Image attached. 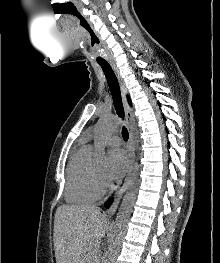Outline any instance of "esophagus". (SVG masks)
Wrapping results in <instances>:
<instances>
[{"label":"esophagus","mask_w":220,"mask_h":263,"mask_svg":"<svg viewBox=\"0 0 220 263\" xmlns=\"http://www.w3.org/2000/svg\"><path fill=\"white\" fill-rule=\"evenodd\" d=\"M114 70H115V73H116V76H117V79H118V82L121 88L125 117L127 120V126H128V132H129V140H128L127 147H128V153H129L130 160H129V167L127 170V174H126L124 183L120 187V189L116 192L112 206L106 211V214L109 217L115 214L119 206L120 200L130 184L131 175H132V171H133V167L135 163V146H134V136H133V125L135 123V118H134L133 111L130 105L128 104V101L126 98L127 89H126L125 83L122 77L120 76L118 70L116 68H114Z\"/></svg>","instance_id":"1"}]
</instances>
